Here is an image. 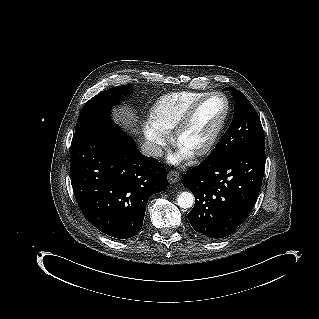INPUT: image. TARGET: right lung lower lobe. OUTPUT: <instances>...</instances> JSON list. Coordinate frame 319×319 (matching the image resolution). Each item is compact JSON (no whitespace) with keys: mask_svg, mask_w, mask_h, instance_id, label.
<instances>
[{"mask_svg":"<svg viewBox=\"0 0 319 319\" xmlns=\"http://www.w3.org/2000/svg\"><path fill=\"white\" fill-rule=\"evenodd\" d=\"M70 149L71 184L86 219L114 238L136 235L149 197L167 188L164 166L112 121L75 132Z\"/></svg>","mask_w":319,"mask_h":319,"instance_id":"obj_1","label":"right lung lower lobe"}]
</instances>
